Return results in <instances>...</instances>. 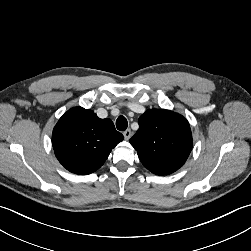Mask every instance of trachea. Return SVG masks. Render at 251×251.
<instances>
[{
    "instance_id": "1",
    "label": "trachea",
    "mask_w": 251,
    "mask_h": 251,
    "mask_svg": "<svg viewBox=\"0 0 251 251\" xmlns=\"http://www.w3.org/2000/svg\"><path fill=\"white\" fill-rule=\"evenodd\" d=\"M128 122L124 116H119L116 120V127L119 131H125L127 129Z\"/></svg>"
}]
</instances>
